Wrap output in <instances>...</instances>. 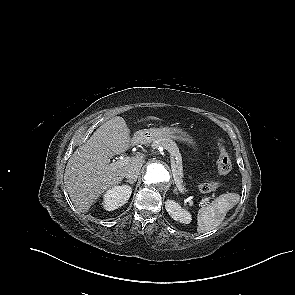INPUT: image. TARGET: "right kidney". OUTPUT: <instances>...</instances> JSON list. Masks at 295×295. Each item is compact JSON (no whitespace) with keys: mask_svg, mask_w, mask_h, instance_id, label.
Returning <instances> with one entry per match:
<instances>
[{"mask_svg":"<svg viewBox=\"0 0 295 295\" xmlns=\"http://www.w3.org/2000/svg\"><path fill=\"white\" fill-rule=\"evenodd\" d=\"M131 193L132 189L127 185L111 188L104 195V208L108 211L118 209L128 201Z\"/></svg>","mask_w":295,"mask_h":295,"instance_id":"obj_1","label":"right kidney"}]
</instances>
